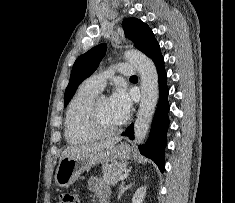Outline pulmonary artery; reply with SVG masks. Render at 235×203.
I'll list each match as a JSON object with an SVG mask.
<instances>
[{
    "label": "pulmonary artery",
    "mask_w": 235,
    "mask_h": 203,
    "mask_svg": "<svg viewBox=\"0 0 235 203\" xmlns=\"http://www.w3.org/2000/svg\"><path fill=\"white\" fill-rule=\"evenodd\" d=\"M114 68L124 76H130L135 72L134 66L130 63H119ZM110 74L111 71L92 75L86 80V83L96 90L102 91Z\"/></svg>",
    "instance_id": "e3ab8cb5"
}]
</instances>
